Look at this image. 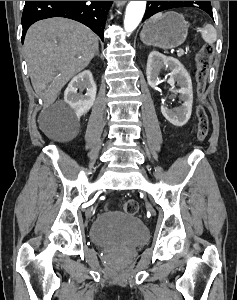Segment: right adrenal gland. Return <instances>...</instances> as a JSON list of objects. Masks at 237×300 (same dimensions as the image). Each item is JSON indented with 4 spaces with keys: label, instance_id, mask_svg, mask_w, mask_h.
<instances>
[{
    "label": "right adrenal gland",
    "instance_id": "obj_1",
    "mask_svg": "<svg viewBox=\"0 0 237 300\" xmlns=\"http://www.w3.org/2000/svg\"><path fill=\"white\" fill-rule=\"evenodd\" d=\"M96 55H98V57H99V53H98V51H97Z\"/></svg>",
    "mask_w": 237,
    "mask_h": 300
}]
</instances>
